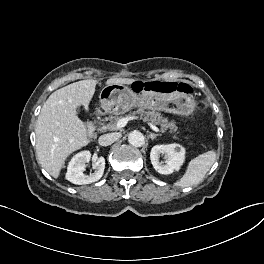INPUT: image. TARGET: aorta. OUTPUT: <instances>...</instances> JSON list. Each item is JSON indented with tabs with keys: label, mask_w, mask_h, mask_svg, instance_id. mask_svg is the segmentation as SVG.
I'll list each match as a JSON object with an SVG mask.
<instances>
[{
	"label": "aorta",
	"mask_w": 264,
	"mask_h": 264,
	"mask_svg": "<svg viewBox=\"0 0 264 264\" xmlns=\"http://www.w3.org/2000/svg\"><path fill=\"white\" fill-rule=\"evenodd\" d=\"M128 142L134 147H141L145 143V138L141 132L132 131L128 135Z\"/></svg>",
	"instance_id": "obj_1"
}]
</instances>
